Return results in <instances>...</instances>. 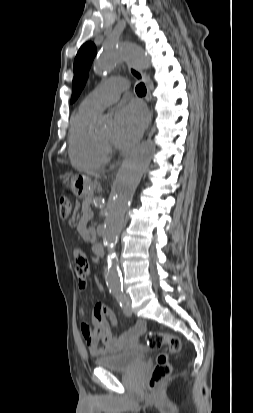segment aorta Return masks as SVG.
I'll return each instance as SVG.
<instances>
[{"label": "aorta", "mask_w": 253, "mask_h": 413, "mask_svg": "<svg viewBox=\"0 0 253 413\" xmlns=\"http://www.w3.org/2000/svg\"><path fill=\"white\" fill-rule=\"evenodd\" d=\"M120 60H126L140 67L148 65L147 56L140 46L131 42H120L101 53L94 65V71L103 75L111 71ZM101 124L106 126L104 121H101ZM153 150L152 142L137 146L125 158L117 174L116 194L108 207L102 228L103 243L108 251L105 279L108 288L112 291H119L121 288L115 244L122 230L125 211L133 198L143 172L151 162Z\"/></svg>", "instance_id": "obj_1"}]
</instances>
